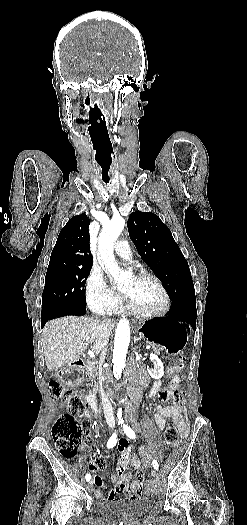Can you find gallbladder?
<instances>
[{"label": "gallbladder", "instance_id": "gallbladder-1", "mask_svg": "<svg viewBox=\"0 0 247 525\" xmlns=\"http://www.w3.org/2000/svg\"><path fill=\"white\" fill-rule=\"evenodd\" d=\"M44 377H45V379L50 380V379H52L53 374H52V372L47 371V372H45Z\"/></svg>", "mask_w": 247, "mask_h": 525}]
</instances>
